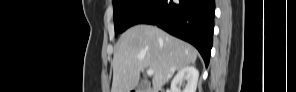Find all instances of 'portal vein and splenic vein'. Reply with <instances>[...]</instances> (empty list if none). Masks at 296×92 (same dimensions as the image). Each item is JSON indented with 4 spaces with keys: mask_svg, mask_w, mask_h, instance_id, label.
Returning a JSON list of instances; mask_svg holds the SVG:
<instances>
[{
    "mask_svg": "<svg viewBox=\"0 0 296 92\" xmlns=\"http://www.w3.org/2000/svg\"><path fill=\"white\" fill-rule=\"evenodd\" d=\"M154 74V70L153 69H148L147 70V75L148 76H152Z\"/></svg>",
    "mask_w": 296,
    "mask_h": 92,
    "instance_id": "1",
    "label": "portal vein and splenic vein"
}]
</instances>
